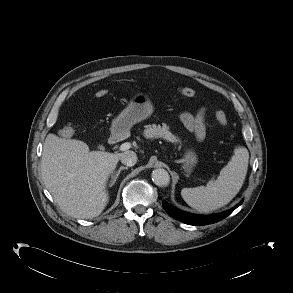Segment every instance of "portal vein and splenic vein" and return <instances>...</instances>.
I'll list each match as a JSON object with an SVG mask.
<instances>
[{
	"mask_svg": "<svg viewBox=\"0 0 293 293\" xmlns=\"http://www.w3.org/2000/svg\"><path fill=\"white\" fill-rule=\"evenodd\" d=\"M130 148H131V144L126 142V143H123L122 145H120L119 150L120 151H126V150H128Z\"/></svg>",
	"mask_w": 293,
	"mask_h": 293,
	"instance_id": "portal-vein-and-splenic-vein-1",
	"label": "portal vein and splenic vein"
}]
</instances>
